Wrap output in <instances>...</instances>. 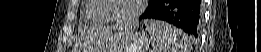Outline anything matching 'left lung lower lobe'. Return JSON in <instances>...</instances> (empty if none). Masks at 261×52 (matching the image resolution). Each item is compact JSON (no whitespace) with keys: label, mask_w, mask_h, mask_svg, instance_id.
Listing matches in <instances>:
<instances>
[{"label":"left lung lower lobe","mask_w":261,"mask_h":52,"mask_svg":"<svg viewBox=\"0 0 261 52\" xmlns=\"http://www.w3.org/2000/svg\"><path fill=\"white\" fill-rule=\"evenodd\" d=\"M201 0H153L141 19H160L198 37L201 24Z\"/></svg>","instance_id":"obj_1"}]
</instances>
